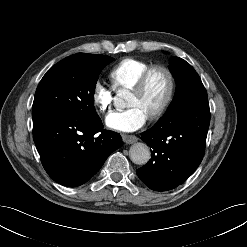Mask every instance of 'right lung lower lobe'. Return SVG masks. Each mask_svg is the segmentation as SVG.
Returning a JSON list of instances; mask_svg holds the SVG:
<instances>
[{
    "mask_svg": "<svg viewBox=\"0 0 247 247\" xmlns=\"http://www.w3.org/2000/svg\"><path fill=\"white\" fill-rule=\"evenodd\" d=\"M33 139L48 175L67 187L87 182L122 146L120 134L104 130L99 116L70 111L33 119Z\"/></svg>",
    "mask_w": 247,
    "mask_h": 247,
    "instance_id": "obj_1",
    "label": "right lung lower lobe"
}]
</instances>
